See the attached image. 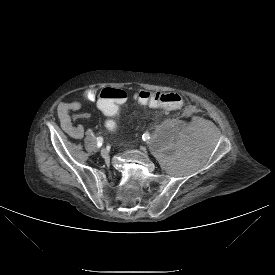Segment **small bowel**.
<instances>
[{
  "mask_svg": "<svg viewBox=\"0 0 275 275\" xmlns=\"http://www.w3.org/2000/svg\"><path fill=\"white\" fill-rule=\"evenodd\" d=\"M103 90L101 91V93ZM96 89L90 88L84 91L83 96L88 101H98L100 94ZM84 107L80 101H63L59 105L60 122L63 129L72 138L80 139L84 136V129L82 126L75 124L71 117L77 118L83 114Z\"/></svg>",
  "mask_w": 275,
  "mask_h": 275,
  "instance_id": "small-bowel-1",
  "label": "small bowel"
}]
</instances>
